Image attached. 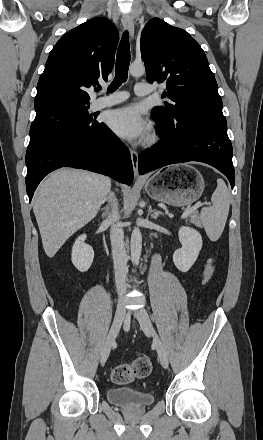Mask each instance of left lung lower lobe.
I'll use <instances>...</instances> for the list:
<instances>
[{
	"label": "left lung lower lobe",
	"mask_w": 263,
	"mask_h": 440,
	"mask_svg": "<svg viewBox=\"0 0 263 440\" xmlns=\"http://www.w3.org/2000/svg\"><path fill=\"white\" fill-rule=\"evenodd\" d=\"M158 124L160 141L139 155V174H145L174 163L199 161L221 171L234 187L232 145L227 135L224 116L200 119L186 124Z\"/></svg>",
	"instance_id": "0a47b994"
}]
</instances>
